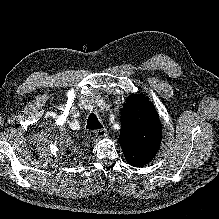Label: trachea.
<instances>
[{
  "instance_id": "1",
  "label": "trachea",
  "mask_w": 219,
  "mask_h": 219,
  "mask_svg": "<svg viewBox=\"0 0 219 219\" xmlns=\"http://www.w3.org/2000/svg\"><path fill=\"white\" fill-rule=\"evenodd\" d=\"M103 125L99 122L98 118L94 113H91L87 120V126L86 129L88 130H96V129H102Z\"/></svg>"
}]
</instances>
